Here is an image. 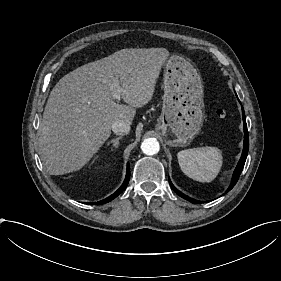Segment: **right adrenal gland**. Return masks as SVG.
<instances>
[{"label":"right adrenal gland","instance_id":"obj_1","mask_svg":"<svg viewBox=\"0 0 281 281\" xmlns=\"http://www.w3.org/2000/svg\"><path fill=\"white\" fill-rule=\"evenodd\" d=\"M122 136H120V137H117V138H115V139H112V140H109V141H107V143L109 144V143H114V146L117 148L118 146H120V140H122ZM112 149H113V146L111 147Z\"/></svg>","mask_w":281,"mask_h":281}]
</instances>
